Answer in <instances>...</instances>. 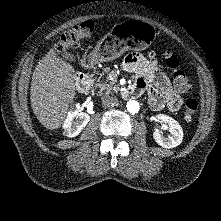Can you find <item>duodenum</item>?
Listing matches in <instances>:
<instances>
[{"label": "duodenum", "instance_id": "410a0bca", "mask_svg": "<svg viewBox=\"0 0 221 221\" xmlns=\"http://www.w3.org/2000/svg\"><path fill=\"white\" fill-rule=\"evenodd\" d=\"M74 81H75L76 88L80 92L86 93L89 91L91 82L85 73H82V72L76 73L74 76ZM125 93H126V96L128 97H138L141 95L139 94V91L135 85H131L130 87H128Z\"/></svg>", "mask_w": 221, "mask_h": 221}]
</instances>
